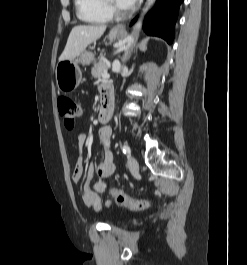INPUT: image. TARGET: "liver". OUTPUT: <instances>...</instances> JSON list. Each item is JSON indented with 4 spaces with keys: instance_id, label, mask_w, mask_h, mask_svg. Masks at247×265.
I'll use <instances>...</instances> for the list:
<instances>
[{
    "instance_id": "liver-1",
    "label": "liver",
    "mask_w": 247,
    "mask_h": 265,
    "mask_svg": "<svg viewBox=\"0 0 247 265\" xmlns=\"http://www.w3.org/2000/svg\"><path fill=\"white\" fill-rule=\"evenodd\" d=\"M106 30V25H79L75 26L68 37L66 46L59 61L71 60L77 57L85 48L98 40Z\"/></svg>"
}]
</instances>
